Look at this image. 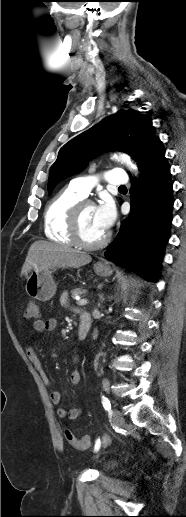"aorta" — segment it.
I'll use <instances>...</instances> for the list:
<instances>
[{"mask_svg": "<svg viewBox=\"0 0 186 517\" xmlns=\"http://www.w3.org/2000/svg\"><path fill=\"white\" fill-rule=\"evenodd\" d=\"M115 158H116L118 161H120V162H122V163L126 164V165L131 169V170H133V171L137 170L136 165H134V164L131 162V159H130V157H129L128 155L120 154L119 156H115Z\"/></svg>", "mask_w": 186, "mask_h": 517, "instance_id": "obj_1", "label": "aorta"}]
</instances>
